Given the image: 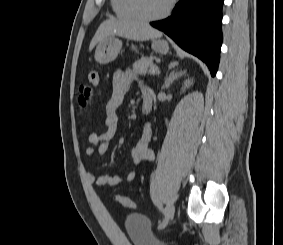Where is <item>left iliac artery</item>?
I'll use <instances>...</instances> for the list:
<instances>
[{
	"mask_svg": "<svg viewBox=\"0 0 283 245\" xmlns=\"http://www.w3.org/2000/svg\"><path fill=\"white\" fill-rule=\"evenodd\" d=\"M150 193H151V198L155 205L160 209V211L163 213L165 216V211L162 207L161 202L159 201L158 195H157V181L156 177L152 176L151 178V184H150ZM164 224V219L159 223L158 228L161 229L162 225Z\"/></svg>",
	"mask_w": 283,
	"mask_h": 245,
	"instance_id": "left-iliac-artery-1",
	"label": "left iliac artery"
}]
</instances>
